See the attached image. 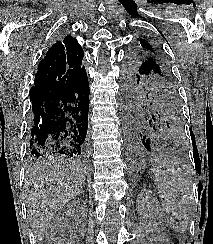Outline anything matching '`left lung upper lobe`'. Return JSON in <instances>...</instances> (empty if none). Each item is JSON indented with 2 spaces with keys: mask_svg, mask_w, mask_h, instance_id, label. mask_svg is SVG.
Listing matches in <instances>:
<instances>
[{
  "mask_svg": "<svg viewBox=\"0 0 213 244\" xmlns=\"http://www.w3.org/2000/svg\"><path fill=\"white\" fill-rule=\"evenodd\" d=\"M123 106L153 124L163 138L183 133L181 101L175 79L164 56L147 40L129 52L123 69Z\"/></svg>",
  "mask_w": 213,
  "mask_h": 244,
  "instance_id": "5c2ea615",
  "label": "left lung upper lobe"
}]
</instances>
